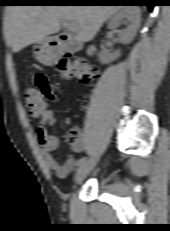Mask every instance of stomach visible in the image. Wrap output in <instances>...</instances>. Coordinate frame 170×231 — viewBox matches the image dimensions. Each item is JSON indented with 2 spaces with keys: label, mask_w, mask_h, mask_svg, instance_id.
<instances>
[{
  "label": "stomach",
  "mask_w": 170,
  "mask_h": 231,
  "mask_svg": "<svg viewBox=\"0 0 170 231\" xmlns=\"http://www.w3.org/2000/svg\"><path fill=\"white\" fill-rule=\"evenodd\" d=\"M38 50L35 52V57L44 64H51L55 61L53 53L47 45L46 39L40 41L35 46Z\"/></svg>",
  "instance_id": "1"
}]
</instances>
